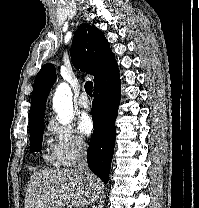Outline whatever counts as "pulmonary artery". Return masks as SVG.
Instances as JSON below:
<instances>
[{
  "label": "pulmonary artery",
  "instance_id": "obj_1",
  "mask_svg": "<svg viewBox=\"0 0 199 208\" xmlns=\"http://www.w3.org/2000/svg\"><path fill=\"white\" fill-rule=\"evenodd\" d=\"M77 104L81 108H89L90 107L91 102H90L86 93L81 94V96L78 98Z\"/></svg>",
  "mask_w": 199,
  "mask_h": 208
}]
</instances>
